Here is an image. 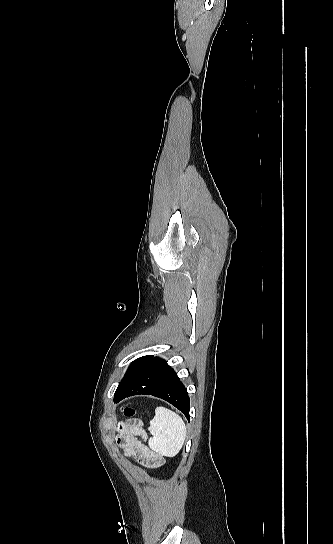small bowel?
<instances>
[{"label":"small bowel","instance_id":"obj_1","mask_svg":"<svg viewBox=\"0 0 333 544\" xmlns=\"http://www.w3.org/2000/svg\"><path fill=\"white\" fill-rule=\"evenodd\" d=\"M118 444L127 457H133L148 467H159L163 458L146 443L147 434L138 426L123 424L119 426Z\"/></svg>","mask_w":333,"mask_h":544}]
</instances>
